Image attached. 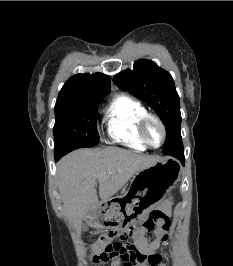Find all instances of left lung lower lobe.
I'll return each instance as SVG.
<instances>
[{
    "instance_id": "0a47b994",
    "label": "left lung lower lobe",
    "mask_w": 233,
    "mask_h": 266,
    "mask_svg": "<svg viewBox=\"0 0 233 266\" xmlns=\"http://www.w3.org/2000/svg\"><path fill=\"white\" fill-rule=\"evenodd\" d=\"M166 154L177 158L184 165L185 158H184V151H183V144H182V142L179 143V144H177L174 148H172Z\"/></svg>"
}]
</instances>
